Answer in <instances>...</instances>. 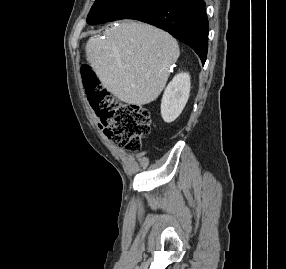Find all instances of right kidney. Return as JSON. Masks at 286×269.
Instances as JSON below:
<instances>
[{"label": "right kidney", "instance_id": "right-kidney-1", "mask_svg": "<svg viewBox=\"0 0 286 269\" xmlns=\"http://www.w3.org/2000/svg\"><path fill=\"white\" fill-rule=\"evenodd\" d=\"M188 73L177 74L166 87L162 102L161 115L165 122H173L184 109L190 93Z\"/></svg>", "mask_w": 286, "mask_h": 269}]
</instances>
